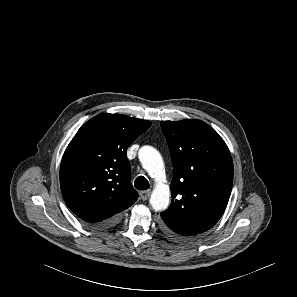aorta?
<instances>
[{"label": "aorta", "mask_w": 297, "mask_h": 297, "mask_svg": "<svg viewBox=\"0 0 297 297\" xmlns=\"http://www.w3.org/2000/svg\"><path fill=\"white\" fill-rule=\"evenodd\" d=\"M139 158L143 168L156 180V187L151 194L150 204L155 211L165 210L169 205L170 190L161 181L164 168L162 157L156 149L146 146L140 150Z\"/></svg>", "instance_id": "aorta-1"}]
</instances>
